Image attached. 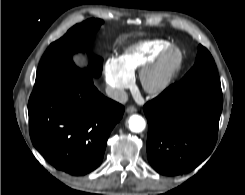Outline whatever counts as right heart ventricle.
I'll use <instances>...</instances> for the list:
<instances>
[{
    "label": "right heart ventricle",
    "instance_id": "e07e8e85",
    "mask_svg": "<svg viewBox=\"0 0 245 195\" xmlns=\"http://www.w3.org/2000/svg\"><path fill=\"white\" fill-rule=\"evenodd\" d=\"M166 40L142 41L128 47L118 58L121 67L132 77L134 73L151 62L170 47Z\"/></svg>",
    "mask_w": 245,
    "mask_h": 195
}]
</instances>
